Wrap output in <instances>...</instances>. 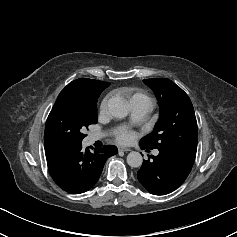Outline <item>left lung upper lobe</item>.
Listing matches in <instances>:
<instances>
[{
  "instance_id": "1",
  "label": "left lung upper lobe",
  "mask_w": 237,
  "mask_h": 237,
  "mask_svg": "<svg viewBox=\"0 0 237 237\" xmlns=\"http://www.w3.org/2000/svg\"><path fill=\"white\" fill-rule=\"evenodd\" d=\"M156 94L160 105V118L154 131L140 140L146 148L159 151L196 153L197 122L188 95L166 78L145 79Z\"/></svg>"
}]
</instances>
